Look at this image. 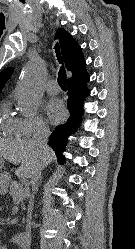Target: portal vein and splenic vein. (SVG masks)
<instances>
[{"label":"portal vein and splenic vein","mask_w":135,"mask_h":249,"mask_svg":"<svg viewBox=\"0 0 135 249\" xmlns=\"http://www.w3.org/2000/svg\"><path fill=\"white\" fill-rule=\"evenodd\" d=\"M23 196H24V193H21V194L19 195V199H21Z\"/></svg>","instance_id":"obj_1"}]
</instances>
